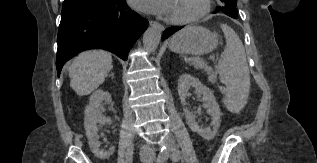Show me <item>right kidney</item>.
<instances>
[{
  "label": "right kidney",
  "instance_id": "right-kidney-1",
  "mask_svg": "<svg viewBox=\"0 0 317 163\" xmlns=\"http://www.w3.org/2000/svg\"><path fill=\"white\" fill-rule=\"evenodd\" d=\"M112 101L111 95L108 91L101 89L96 90L89 100V104L86 106L84 114V128L86 136L89 141V146L94 155L99 159H108L115 151V147H110L108 150L99 149V136H98V124L108 123L111 124L112 120L109 117H105L102 112V102L110 103Z\"/></svg>",
  "mask_w": 317,
  "mask_h": 163
}]
</instances>
